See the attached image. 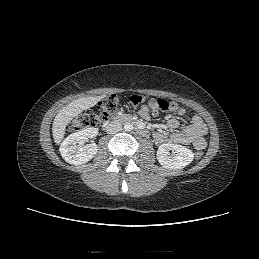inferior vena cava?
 Instances as JSON below:
<instances>
[{"label": "inferior vena cava", "mask_w": 259, "mask_h": 259, "mask_svg": "<svg viewBox=\"0 0 259 259\" xmlns=\"http://www.w3.org/2000/svg\"><path fill=\"white\" fill-rule=\"evenodd\" d=\"M121 130H122V124L118 121H112L106 127L107 134H116Z\"/></svg>", "instance_id": "1"}]
</instances>
